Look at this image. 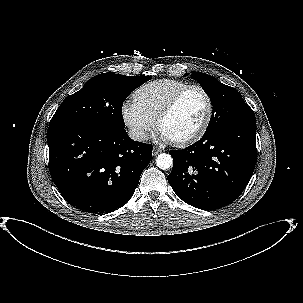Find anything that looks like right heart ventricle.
<instances>
[{
  "label": "right heart ventricle",
  "mask_w": 303,
  "mask_h": 303,
  "mask_svg": "<svg viewBox=\"0 0 303 303\" xmlns=\"http://www.w3.org/2000/svg\"><path fill=\"white\" fill-rule=\"evenodd\" d=\"M187 85V82L175 79L156 80L137 89L134 96L140 106L156 121L171 98Z\"/></svg>",
  "instance_id": "1"
}]
</instances>
